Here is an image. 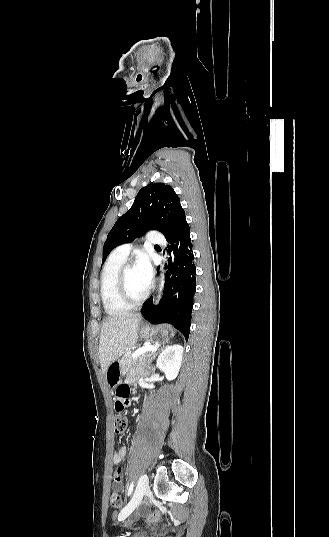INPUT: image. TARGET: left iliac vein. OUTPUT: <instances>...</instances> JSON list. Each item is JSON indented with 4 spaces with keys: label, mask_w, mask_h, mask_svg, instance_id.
Masks as SVG:
<instances>
[{
    "label": "left iliac vein",
    "mask_w": 329,
    "mask_h": 537,
    "mask_svg": "<svg viewBox=\"0 0 329 537\" xmlns=\"http://www.w3.org/2000/svg\"><path fill=\"white\" fill-rule=\"evenodd\" d=\"M149 490L148 476L142 474L138 480L136 490L129 503L122 509L118 519L120 521L126 519L142 502L144 495Z\"/></svg>",
    "instance_id": "left-iliac-vein-1"
}]
</instances>
